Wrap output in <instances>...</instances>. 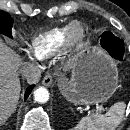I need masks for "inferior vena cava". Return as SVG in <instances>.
<instances>
[{
  "mask_svg": "<svg viewBox=\"0 0 130 130\" xmlns=\"http://www.w3.org/2000/svg\"><path fill=\"white\" fill-rule=\"evenodd\" d=\"M20 71L30 84L37 83L41 76L39 66L34 63H23Z\"/></svg>",
  "mask_w": 130,
  "mask_h": 130,
  "instance_id": "inferior-vena-cava-1",
  "label": "inferior vena cava"
}]
</instances>
